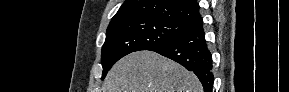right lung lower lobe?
I'll return each instance as SVG.
<instances>
[{"mask_svg": "<svg viewBox=\"0 0 289 92\" xmlns=\"http://www.w3.org/2000/svg\"><path fill=\"white\" fill-rule=\"evenodd\" d=\"M150 51L168 57L187 70L193 71L202 83L204 91L212 92V59L206 44L201 17L189 24L184 33Z\"/></svg>", "mask_w": 289, "mask_h": 92, "instance_id": "obj_1", "label": "right lung lower lobe"}]
</instances>
